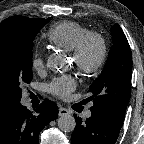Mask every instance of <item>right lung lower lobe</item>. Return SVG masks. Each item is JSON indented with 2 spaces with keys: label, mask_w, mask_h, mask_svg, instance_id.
<instances>
[{
  "label": "right lung lower lobe",
  "mask_w": 144,
  "mask_h": 144,
  "mask_svg": "<svg viewBox=\"0 0 144 144\" xmlns=\"http://www.w3.org/2000/svg\"><path fill=\"white\" fill-rule=\"evenodd\" d=\"M35 112L18 103L0 121V144H38L40 131L57 118L58 107L54 102L45 100Z\"/></svg>",
  "instance_id": "98d812e1"
}]
</instances>
